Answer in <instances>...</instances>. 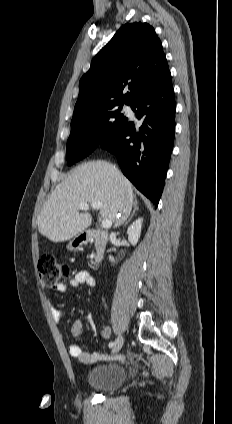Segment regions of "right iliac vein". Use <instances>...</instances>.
<instances>
[{"mask_svg": "<svg viewBox=\"0 0 232 424\" xmlns=\"http://www.w3.org/2000/svg\"><path fill=\"white\" fill-rule=\"evenodd\" d=\"M123 343H124V338H123V336L120 334V335H118V337L116 338V340H115V344H114V346L112 347V353H117V352H119V350L122 348V346H123Z\"/></svg>", "mask_w": 232, "mask_h": 424, "instance_id": "63e3f726", "label": "right iliac vein"}]
</instances>
